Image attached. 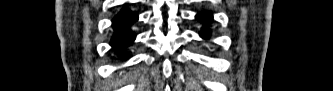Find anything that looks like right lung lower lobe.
Wrapping results in <instances>:
<instances>
[{
  "label": "right lung lower lobe",
  "instance_id": "obj_1",
  "mask_svg": "<svg viewBox=\"0 0 333 91\" xmlns=\"http://www.w3.org/2000/svg\"><path fill=\"white\" fill-rule=\"evenodd\" d=\"M138 16L128 9H123L113 19L114 34L111 39V46L119 54L121 50L129 46L135 39L130 26L137 21Z\"/></svg>",
  "mask_w": 333,
  "mask_h": 91
}]
</instances>
